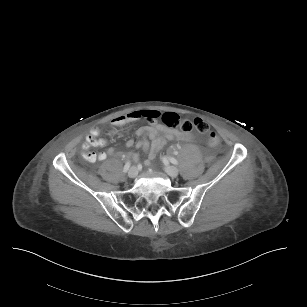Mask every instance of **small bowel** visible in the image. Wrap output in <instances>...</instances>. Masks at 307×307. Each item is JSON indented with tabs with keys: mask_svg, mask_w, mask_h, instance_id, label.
I'll list each match as a JSON object with an SVG mask.
<instances>
[{
	"mask_svg": "<svg viewBox=\"0 0 307 307\" xmlns=\"http://www.w3.org/2000/svg\"><path fill=\"white\" fill-rule=\"evenodd\" d=\"M159 114L155 110H134L115 118L112 121V125L115 131L125 127L128 124L135 123L142 119L149 122V125L143 126L137 131V135L141 138L135 143L133 139L127 141V147L142 148L144 151H149V159L146 160V164L149 165L156 157L159 150L164 146L167 141L179 140L189 141L192 139L191 133H182L179 131L168 129L157 123ZM100 129L98 127H92L86 136V140L82 146L83 157L94 162L96 160H105L108 156H114L117 152L114 149H109L107 152L93 153L89 151V148L103 147L107 144V140L98 138ZM134 161H138V155L132 153L129 155Z\"/></svg>",
	"mask_w": 307,
	"mask_h": 307,
	"instance_id": "1",
	"label": "small bowel"
}]
</instances>
